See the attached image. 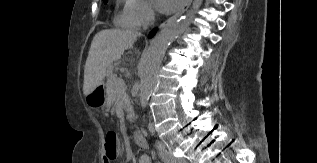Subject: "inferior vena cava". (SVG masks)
<instances>
[{
	"mask_svg": "<svg viewBox=\"0 0 317 163\" xmlns=\"http://www.w3.org/2000/svg\"><path fill=\"white\" fill-rule=\"evenodd\" d=\"M157 149H158V151H159V155H160L162 158L168 156V152H167V150H166L163 146L158 145V146H157Z\"/></svg>",
	"mask_w": 317,
	"mask_h": 163,
	"instance_id": "1",
	"label": "inferior vena cava"
}]
</instances>
